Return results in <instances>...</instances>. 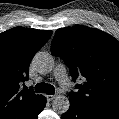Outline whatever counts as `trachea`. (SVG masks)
Here are the masks:
<instances>
[{
	"mask_svg": "<svg viewBox=\"0 0 119 119\" xmlns=\"http://www.w3.org/2000/svg\"><path fill=\"white\" fill-rule=\"evenodd\" d=\"M34 89L38 93H46L50 95L55 93V88L52 85L46 83H38Z\"/></svg>",
	"mask_w": 119,
	"mask_h": 119,
	"instance_id": "obj_1",
	"label": "trachea"
}]
</instances>
